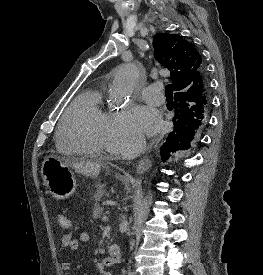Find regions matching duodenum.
Returning a JSON list of instances; mask_svg holds the SVG:
<instances>
[{
  "instance_id": "obj_1",
  "label": "duodenum",
  "mask_w": 263,
  "mask_h": 275,
  "mask_svg": "<svg viewBox=\"0 0 263 275\" xmlns=\"http://www.w3.org/2000/svg\"><path fill=\"white\" fill-rule=\"evenodd\" d=\"M121 260V250L118 245L112 244L108 249V256L104 259L106 266H112L119 263Z\"/></svg>"
}]
</instances>
